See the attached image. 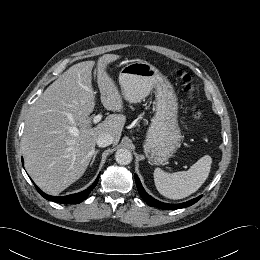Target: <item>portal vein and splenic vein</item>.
<instances>
[{
	"label": "portal vein and splenic vein",
	"instance_id": "obj_1",
	"mask_svg": "<svg viewBox=\"0 0 260 260\" xmlns=\"http://www.w3.org/2000/svg\"><path fill=\"white\" fill-rule=\"evenodd\" d=\"M101 119H102V115H101V114H98V115H96V116L93 118V123L96 124V123L100 122ZM71 132H72L73 134L77 135V129H76V128L71 129Z\"/></svg>",
	"mask_w": 260,
	"mask_h": 260
}]
</instances>
